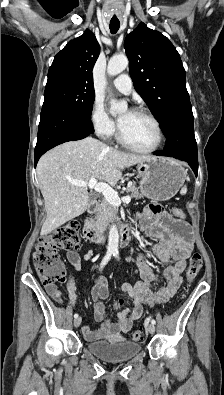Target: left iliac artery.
Returning a JSON list of instances; mask_svg holds the SVG:
<instances>
[{
  "label": "left iliac artery",
  "instance_id": "44dca946",
  "mask_svg": "<svg viewBox=\"0 0 224 395\" xmlns=\"http://www.w3.org/2000/svg\"><path fill=\"white\" fill-rule=\"evenodd\" d=\"M113 255L119 259V252L116 250L114 251ZM149 320L151 321V324H156V321L154 319H152L151 317H149Z\"/></svg>",
  "mask_w": 224,
  "mask_h": 395
}]
</instances>
